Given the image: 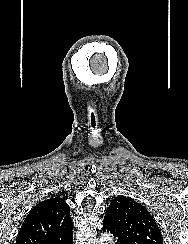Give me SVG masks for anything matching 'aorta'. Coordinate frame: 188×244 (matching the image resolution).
Here are the masks:
<instances>
[{
  "label": "aorta",
  "mask_w": 188,
  "mask_h": 244,
  "mask_svg": "<svg viewBox=\"0 0 188 244\" xmlns=\"http://www.w3.org/2000/svg\"><path fill=\"white\" fill-rule=\"evenodd\" d=\"M100 244H113V239L109 234H103L99 241Z\"/></svg>",
  "instance_id": "obj_1"
}]
</instances>
